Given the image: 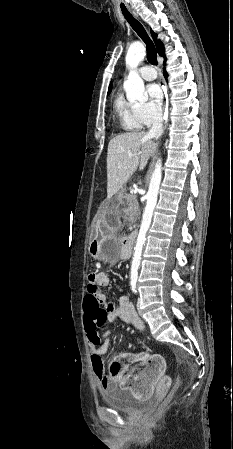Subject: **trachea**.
<instances>
[{
  "label": "trachea",
  "mask_w": 233,
  "mask_h": 449,
  "mask_svg": "<svg viewBox=\"0 0 233 449\" xmlns=\"http://www.w3.org/2000/svg\"><path fill=\"white\" fill-rule=\"evenodd\" d=\"M122 13L127 20V22L130 24V26L133 28V30L139 35V37L144 41L146 44V50H147V60L153 64L157 65V52L156 48L148 36L145 28L143 25L136 20L133 15L127 10L125 6H121Z\"/></svg>",
  "instance_id": "1"
}]
</instances>
